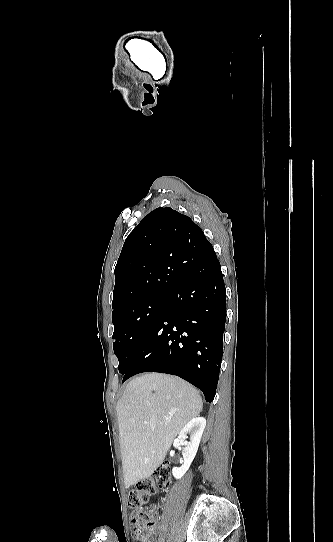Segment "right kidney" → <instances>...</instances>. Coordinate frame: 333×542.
Here are the masks:
<instances>
[{"label":"right kidney","instance_id":"obj_1","mask_svg":"<svg viewBox=\"0 0 333 542\" xmlns=\"http://www.w3.org/2000/svg\"><path fill=\"white\" fill-rule=\"evenodd\" d=\"M206 426V420L205 418H193V420H190L186 426H184L183 430H181L178 438V442L182 444V446H185L184 452H183V464L181 468H173L172 474L176 480H181L183 476H185L187 470H189L196 454L197 450L199 448V444L201 442L202 434L205 430ZM187 434H190V442H186L188 436Z\"/></svg>","mask_w":333,"mask_h":542}]
</instances>
